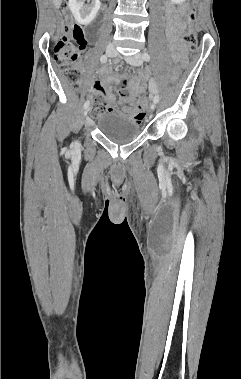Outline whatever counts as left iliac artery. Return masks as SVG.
<instances>
[{"instance_id":"left-iliac-artery-1","label":"left iliac artery","mask_w":241,"mask_h":379,"mask_svg":"<svg viewBox=\"0 0 241 379\" xmlns=\"http://www.w3.org/2000/svg\"><path fill=\"white\" fill-rule=\"evenodd\" d=\"M142 58H143L145 61H150V55H149L147 52L142 53ZM153 101H154L155 103H158V102H159V96H158V95H155Z\"/></svg>"}]
</instances>
